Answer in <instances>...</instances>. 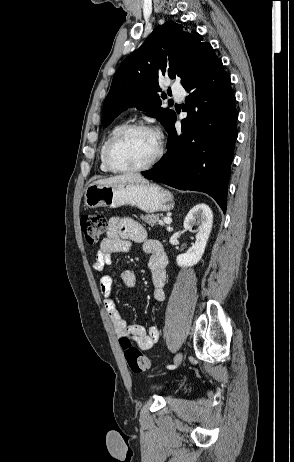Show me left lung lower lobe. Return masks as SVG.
Instances as JSON below:
<instances>
[{"instance_id":"obj_1","label":"left lung lower lobe","mask_w":294,"mask_h":462,"mask_svg":"<svg viewBox=\"0 0 294 462\" xmlns=\"http://www.w3.org/2000/svg\"><path fill=\"white\" fill-rule=\"evenodd\" d=\"M190 94L181 132L169 124L166 156L143 176L181 190L202 191L226 211L227 186L237 139L235 96L218 58L183 85Z\"/></svg>"}]
</instances>
